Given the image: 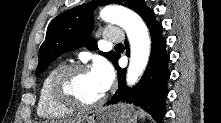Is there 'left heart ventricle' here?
Returning <instances> with one entry per match:
<instances>
[{
	"instance_id": "b2bd125f",
	"label": "left heart ventricle",
	"mask_w": 221,
	"mask_h": 123,
	"mask_svg": "<svg viewBox=\"0 0 221 123\" xmlns=\"http://www.w3.org/2000/svg\"><path fill=\"white\" fill-rule=\"evenodd\" d=\"M68 90L73 97L83 103H93L104 94L90 71L72 75L68 82Z\"/></svg>"
}]
</instances>
